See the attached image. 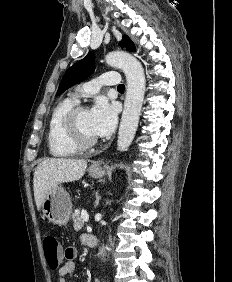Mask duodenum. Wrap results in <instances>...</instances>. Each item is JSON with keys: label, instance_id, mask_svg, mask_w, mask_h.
I'll return each mask as SVG.
<instances>
[{"label": "duodenum", "instance_id": "410a0bca", "mask_svg": "<svg viewBox=\"0 0 232 282\" xmlns=\"http://www.w3.org/2000/svg\"><path fill=\"white\" fill-rule=\"evenodd\" d=\"M97 238L94 235H88L87 236V240H86V244L89 247H95L97 245Z\"/></svg>", "mask_w": 232, "mask_h": 282}]
</instances>
